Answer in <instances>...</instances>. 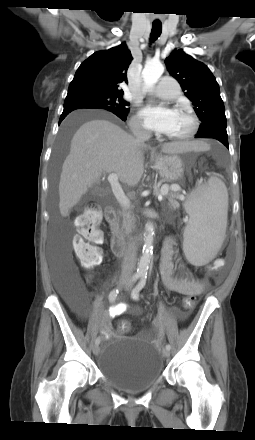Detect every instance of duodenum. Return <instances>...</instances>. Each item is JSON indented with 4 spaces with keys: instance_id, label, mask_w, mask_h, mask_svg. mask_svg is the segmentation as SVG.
Wrapping results in <instances>:
<instances>
[{
    "instance_id": "obj_1",
    "label": "duodenum",
    "mask_w": 255,
    "mask_h": 440,
    "mask_svg": "<svg viewBox=\"0 0 255 440\" xmlns=\"http://www.w3.org/2000/svg\"><path fill=\"white\" fill-rule=\"evenodd\" d=\"M105 218L109 225L114 228L116 222V211L113 207L109 206L105 210ZM111 249L114 255L123 256L127 252L126 242L119 236L118 233H114L111 241Z\"/></svg>"
}]
</instances>
